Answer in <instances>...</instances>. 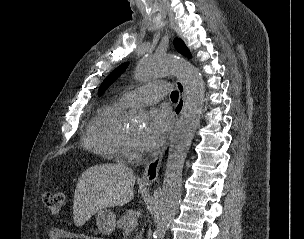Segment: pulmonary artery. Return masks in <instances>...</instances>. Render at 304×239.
Wrapping results in <instances>:
<instances>
[{"label": "pulmonary artery", "mask_w": 304, "mask_h": 239, "mask_svg": "<svg viewBox=\"0 0 304 239\" xmlns=\"http://www.w3.org/2000/svg\"><path fill=\"white\" fill-rule=\"evenodd\" d=\"M166 83H153L126 92L121 101L127 106H147L160 101L167 94Z\"/></svg>", "instance_id": "pulmonary-artery-1"}]
</instances>
